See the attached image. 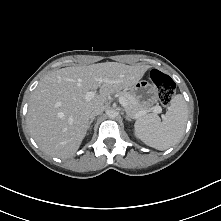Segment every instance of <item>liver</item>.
I'll return each mask as SVG.
<instances>
[{
	"label": "liver",
	"mask_w": 221,
	"mask_h": 221,
	"mask_svg": "<svg viewBox=\"0 0 221 221\" xmlns=\"http://www.w3.org/2000/svg\"><path fill=\"white\" fill-rule=\"evenodd\" d=\"M149 68L105 62L49 73L33 91L29 102L27 124L32 137L50 156L61 159L74 156L86 135L90 113L104 108L108 95L131 87ZM98 88V96L85 99L87 92Z\"/></svg>",
	"instance_id": "liver-1"
}]
</instances>
